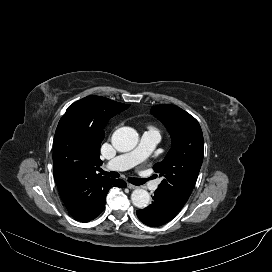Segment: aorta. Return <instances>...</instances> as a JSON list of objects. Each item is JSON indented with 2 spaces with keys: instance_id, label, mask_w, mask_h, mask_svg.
Here are the masks:
<instances>
[{
  "instance_id": "762f6f07",
  "label": "aorta",
  "mask_w": 272,
  "mask_h": 272,
  "mask_svg": "<svg viewBox=\"0 0 272 272\" xmlns=\"http://www.w3.org/2000/svg\"><path fill=\"white\" fill-rule=\"evenodd\" d=\"M138 143V133L131 127H121L112 135V145L119 152H128ZM131 201L137 208H145L150 202V195L144 189H136L131 194Z\"/></svg>"
}]
</instances>
